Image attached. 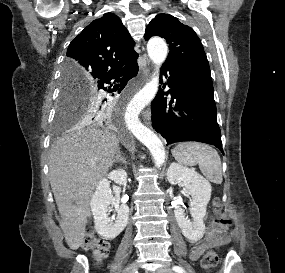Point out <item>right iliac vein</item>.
<instances>
[{
    "label": "right iliac vein",
    "instance_id": "1",
    "mask_svg": "<svg viewBox=\"0 0 285 273\" xmlns=\"http://www.w3.org/2000/svg\"><path fill=\"white\" fill-rule=\"evenodd\" d=\"M137 269L138 263L133 262L125 269L124 273H136Z\"/></svg>",
    "mask_w": 285,
    "mask_h": 273
}]
</instances>
